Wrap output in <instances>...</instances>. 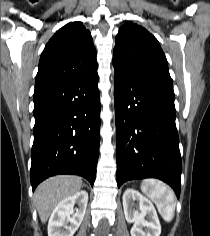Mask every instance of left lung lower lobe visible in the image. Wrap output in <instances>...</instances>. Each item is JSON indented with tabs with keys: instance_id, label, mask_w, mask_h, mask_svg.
Instances as JSON below:
<instances>
[{
	"instance_id": "obj_1",
	"label": "left lung lower lobe",
	"mask_w": 210,
	"mask_h": 236,
	"mask_svg": "<svg viewBox=\"0 0 210 236\" xmlns=\"http://www.w3.org/2000/svg\"><path fill=\"white\" fill-rule=\"evenodd\" d=\"M117 184L154 177L179 198L182 162L175 125L173 85L115 71Z\"/></svg>"
}]
</instances>
